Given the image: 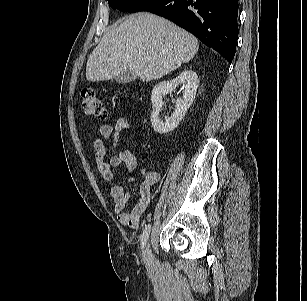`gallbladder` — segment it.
Masks as SVG:
<instances>
[{
  "instance_id": "obj_1",
  "label": "gallbladder",
  "mask_w": 307,
  "mask_h": 301,
  "mask_svg": "<svg viewBox=\"0 0 307 301\" xmlns=\"http://www.w3.org/2000/svg\"><path fill=\"white\" fill-rule=\"evenodd\" d=\"M136 75L130 72H123L116 77V81L118 83L126 84L134 81L136 79Z\"/></svg>"
}]
</instances>
